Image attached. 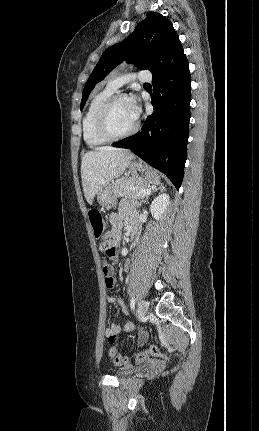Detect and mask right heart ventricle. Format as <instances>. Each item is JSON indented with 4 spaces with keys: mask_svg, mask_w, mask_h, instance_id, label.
I'll return each instance as SVG.
<instances>
[{
    "mask_svg": "<svg viewBox=\"0 0 259 431\" xmlns=\"http://www.w3.org/2000/svg\"><path fill=\"white\" fill-rule=\"evenodd\" d=\"M114 90L107 87L100 92L96 93L90 100L85 114L82 119V132L83 138L86 144L91 148L103 146L109 142V140L101 137L95 126L96 113L101 104L112 94Z\"/></svg>",
    "mask_w": 259,
    "mask_h": 431,
    "instance_id": "obj_1",
    "label": "right heart ventricle"
}]
</instances>
